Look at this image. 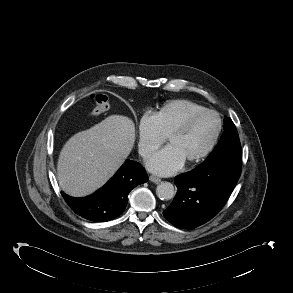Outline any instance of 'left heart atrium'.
<instances>
[{"mask_svg": "<svg viewBox=\"0 0 293 293\" xmlns=\"http://www.w3.org/2000/svg\"><path fill=\"white\" fill-rule=\"evenodd\" d=\"M184 163L185 161L177 150L168 145L148 159L147 167L158 175H171L178 171Z\"/></svg>", "mask_w": 293, "mask_h": 293, "instance_id": "1", "label": "left heart atrium"}]
</instances>
